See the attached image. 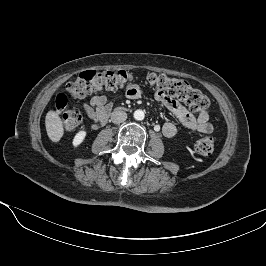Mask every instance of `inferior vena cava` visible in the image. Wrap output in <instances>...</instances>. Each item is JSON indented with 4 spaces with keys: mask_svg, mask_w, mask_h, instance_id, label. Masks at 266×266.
Instances as JSON below:
<instances>
[{
    "mask_svg": "<svg viewBox=\"0 0 266 266\" xmlns=\"http://www.w3.org/2000/svg\"><path fill=\"white\" fill-rule=\"evenodd\" d=\"M127 119V113L122 110H116L111 114V121L114 124H120Z\"/></svg>",
    "mask_w": 266,
    "mask_h": 266,
    "instance_id": "1",
    "label": "inferior vena cava"
}]
</instances>
